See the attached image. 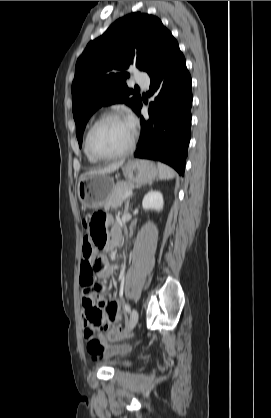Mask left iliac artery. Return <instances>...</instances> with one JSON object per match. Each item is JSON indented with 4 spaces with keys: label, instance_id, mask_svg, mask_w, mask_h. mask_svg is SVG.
I'll use <instances>...</instances> for the list:
<instances>
[{
    "label": "left iliac artery",
    "instance_id": "1",
    "mask_svg": "<svg viewBox=\"0 0 271 418\" xmlns=\"http://www.w3.org/2000/svg\"><path fill=\"white\" fill-rule=\"evenodd\" d=\"M124 309H125L126 312L130 313V306H129V304H125L124 305Z\"/></svg>",
    "mask_w": 271,
    "mask_h": 418
}]
</instances>
